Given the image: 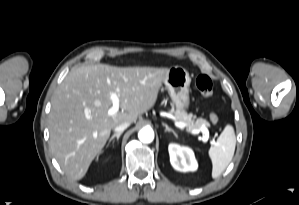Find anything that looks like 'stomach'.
<instances>
[{"label":"stomach","mask_w":299,"mask_h":205,"mask_svg":"<svg viewBox=\"0 0 299 205\" xmlns=\"http://www.w3.org/2000/svg\"><path fill=\"white\" fill-rule=\"evenodd\" d=\"M191 78L189 72L181 67L174 66L169 68V71L164 79V84L171 96V99L179 110H186L190 105L189 86Z\"/></svg>","instance_id":"obj_1"}]
</instances>
